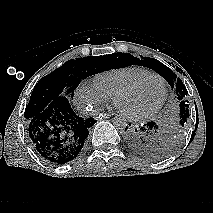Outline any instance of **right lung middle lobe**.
<instances>
[{
  "instance_id": "dd1d6c3e",
  "label": "right lung middle lobe",
  "mask_w": 213,
  "mask_h": 213,
  "mask_svg": "<svg viewBox=\"0 0 213 213\" xmlns=\"http://www.w3.org/2000/svg\"><path fill=\"white\" fill-rule=\"evenodd\" d=\"M114 55V56H112ZM118 53L104 56H88L69 60L35 85L26 106V121L41 113L58 97L70 98L82 79L111 68L112 58Z\"/></svg>"
}]
</instances>
